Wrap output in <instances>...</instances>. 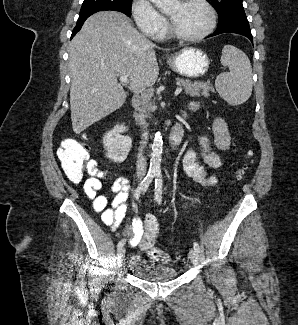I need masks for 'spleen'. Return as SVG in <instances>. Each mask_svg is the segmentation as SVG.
Listing matches in <instances>:
<instances>
[{
    "instance_id": "1",
    "label": "spleen",
    "mask_w": 298,
    "mask_h": 325,
    "mask_svg": "<svg viewBox=\"0 0 298 325\" xmlns=\"http://www.w3.org/2000/svg\"><path fill=\"white\" fill-rule=\"evenodd\" d=\"M220 60L230 72L217 74L215 86L218 94L232 106L246 102L253 88L252 66L247 54L232 44H225Z\"/></svg>"
}]
</instances>
